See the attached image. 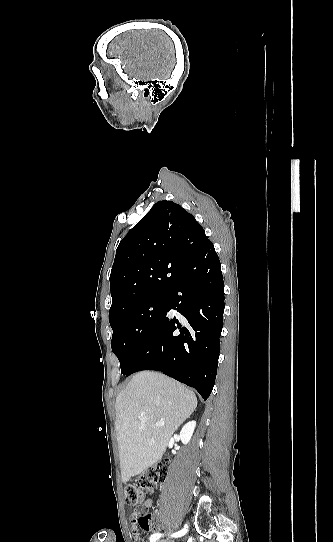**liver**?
Listing matches in <instances>:
<instances>
[{
  "instance_id": "1",
  "label": "liver",
  "mask_w": 333,
  "mask_h": 542,
  "mask_svg": "<svg viewBox=\"0 0 333 542\" xmlns=\"http://www.w3.org/2000/svg\"><path fill=\"white\" fill-rule=\"evenodd\" d=\"M197 408V398L176 380L139 372L116 398L115 430L123 484L161 460L179 426ZM146 418L147 422H140ZM165 422V426H156Z\"/></svg>"
}]
</instances>
